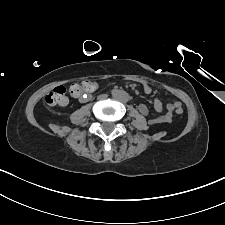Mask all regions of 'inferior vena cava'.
<instances>
[{"mask_svg":"<svg viewBox=\"0 0 225 225\" xmlns=\"http://www.w3.org/2000/svg\"><path fill=\"white\" fill-rule=\"evenodd\" d=\"M107 97V95L106 94H102V95H100V98H102V99H104V98H106Z\"/></svg>","mask_w":225,"mask_h":225,"instance_id":"inferior-vena-cava-1","label":"inferior vena cava"}]
</instances>
